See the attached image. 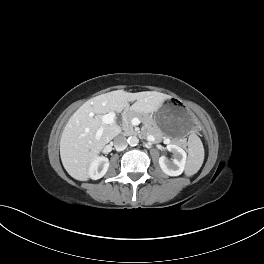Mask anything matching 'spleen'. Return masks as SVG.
Instances as JSON below:
<instances>
[{
	"mask_svg": "<svg viewBox=\"0 0 264 264\" xmlns=\"http://www.w3.org/2000/svg\"><path fill=\"white\" fill-rule=\"evenodd\" d=\"M189 157L185 173L192 176L201 168L204 160V148L200 138L196 134H191L188 139Z\"/></svg>",
	"mask_w": 264,
	"mask_h": 264,
	"instance_id": "3e777b00",
	"label": "spleen"
}]
</instances>
